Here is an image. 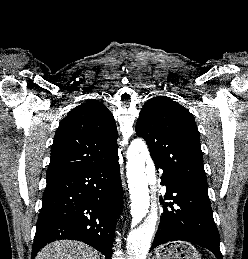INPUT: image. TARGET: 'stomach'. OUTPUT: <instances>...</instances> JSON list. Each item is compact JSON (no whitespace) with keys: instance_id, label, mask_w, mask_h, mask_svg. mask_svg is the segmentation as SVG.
Listing matches in <instances>:
<instances>
[{"instance_id":"obj_1","label":"stomach","mask_w":248,"mask_h":259,"mask_svg":"<svg viewBox=\"0 0 248 259\" xmlns=\"http://www.w3.org/2000/svg\"><path fill=\"white\" fill-rule=\"evenodd\" d=\"M153 259H200L198 251L187 242H171L156 249Z\"/></svg>"}]
</instances>
